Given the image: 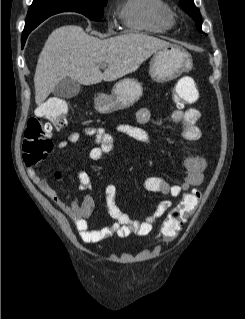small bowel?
<instances>
[{
  "instance_id": "small-bowel-1",
  "label": "small bowel",
  "mask_w": 245,
  "mask_h": 319,
  "mask_svg": "<svg viewBox=\"0 0 245 319\" xmlns=\"http://www.w3.org/2000/svg\"><path fill=\"white\" fill-rule=\"evenodd\" d=\"M176 89H182L188 93L195 89L194 82L190 77H182L178 80ZM198 95H194L192 102L196 101ZM201 113L196 108L186 110L176 109L171 114V120L174 124L182 126L181 136L187 141H196L202 137V131L197 125ZM151 118V112L148 108H141L136 113V120L140 126L128 124L119 125L116 131L129 137L141 144L149 146L152 142L150 134L142 127L146 125ZM83 133L93 137L95 146L89 151V158L92 161L102 160L113 147V137L101 127H85ZM80 133L72 131L66 139L57 142L58 150H65L69 143L80 139ZM185 169L182 181L179 184L171 185L163 178L158 176L148 177L143 182V187L147 192L160 193L172 197H178L191 188L200 185L203 181V172L206 168V159L202 155H195L187 151L183 158ZM31 179L40 186L43 192L67 215L75 224L81 239L85 243H97L109 239L114 233L121 237L130 234L148 235L152 232L157 221L172 206L170 200H163L159 203L155 211L144 221L133 220L116 203L117 189L113 184H107L104 188L106 206L109 215L115 220L112 226L101 229H91L88 218L94 212V201L86 193L81 198L74 199L70 204L64 203L56 192L47 184L46 180L41 178L33 168L28 170ZM78 178L77 188L81 191H90L93 187V181L90 175L82 169L76 171Z\"/></svg>"
}]
</instances>
